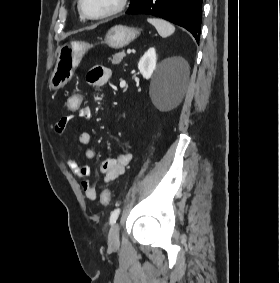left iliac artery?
Returning a JSON list of instances; mask_svg holds the SVG:
<instances>
[{
  "label": "left iliac artery",
  "instance_id": "44dca946",
  "mask_svg": "<svg viewBox=\"0 0 280 283\" xmlns=\"http://www.w3.org/2000/svg\"><path fill=\"white\" fill-rule=\"evenodd\" d=\"M119 214H120V209L119 208H117L114 211H112V213L110 215V224L111 225H113L116 222V220L119 217Z\"/></svg>",
  "mask_w": 280,
  "mask_h": 283
}]
</instances>
